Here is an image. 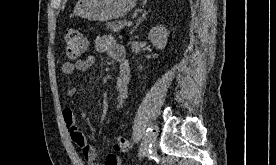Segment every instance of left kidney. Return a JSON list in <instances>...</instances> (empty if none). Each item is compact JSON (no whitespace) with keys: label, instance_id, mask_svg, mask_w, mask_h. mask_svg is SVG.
<instances>
[{"label":"left kidney","instance_id":"obj_1","mask_svg":"<svg viewBox=\"0 0 276 165\" xmlns=\"http://www.w3.org/2000/svg\"><path fill=\"white\" fill-rule=\"evenodd\" d=\"M167 37L168 31L163 25L152 28L148 35L150 42L161 50L167 45Z\"/></svg>","mask_w":276,"mask_h":165}]
</instances>
